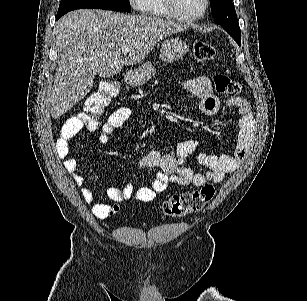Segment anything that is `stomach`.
<instances>
[{
	"mask_svg": "<svg viewBox=\"0 0 307 301\" xmlns=\"http://www.w3.org/2000/svg\"><path fill=\"white\" fill-rule=\"evenodd\" d=\"M188 50L189 46L185 40H182L179 36H171V38H166L164 42H161L159 56L163 62H176V60L184 58ZM156 72L157 70L152 62H143L138 68H131L126 72L125 82L130 86H140V84H145L147 80L155 76Z\"/></svg>",
	"mask_w": 307,
	"mask_h": 301,
	"instance_id": "stomach-1",
	"label": "stomach"
}]
</instances>
